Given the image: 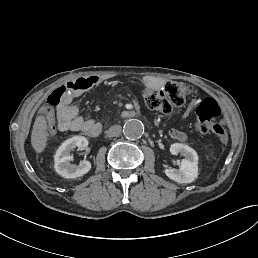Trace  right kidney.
<instances>
[{
	"mask_svg": "<svg viewBox=\"0 0 258 258\" xmlns=\"http://www.w3.org/2000/svg\"><path fill=\"white\" fill-rule=\"evenodd\" d=\"M87 146L88 140L84 136H73L63 142L54 155L55 171L64 178H77L86 174L91 169V163L83 160L79 165H72L70 161L73 156L70 155V152L75 147L86 149Z\"/></svg>",
	"mask_w": 258,
	"mask_h": 258,
	"instance_id": "right-kidney-1",
	"label": "right kidney"
}]
</instances>
